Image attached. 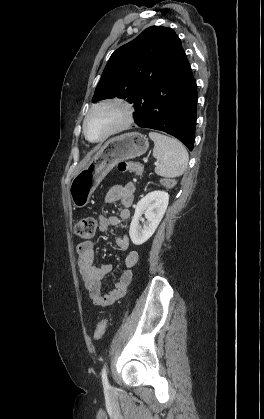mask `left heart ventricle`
I'll return each mask as SVG.
<instances>
[{
  "label": "left heart ventricle",
  "instance_id": "1",
  "mask_svg": "<svg viewBox=\"0 0 264 419\" xmlns=\"http://www.w3.org/2000/svg\"><path fill=\"white\" fill-rule=\"evenodd\" d=\"M123 118L122 111L117 107L95 111L88 120L87 133L93 139H99Z\"/></svg>",
  "mask_w": 264,
  "mask_h": 419
}]
</instances>
